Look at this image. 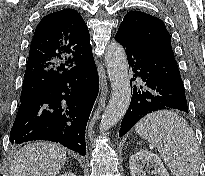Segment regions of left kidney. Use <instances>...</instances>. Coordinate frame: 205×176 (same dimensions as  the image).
<instances>
[{
    "instance_id": "left-kidney-1",
    "label": "left kidney",
    "mask_w": 205,
    "mask_h": 176,
    "mask_svg": "<svg viewBox=\"0 0 205 176\" xmlns=\"http://www.w3.org/2000/svg\"><path fill=\"white\" fill-rule=\"evenodd\" d=\"M131 176H146L144 167H153L155 176H169L160 157L147 150H139L129 159Z\"/></svg>"
}]
</instances>
